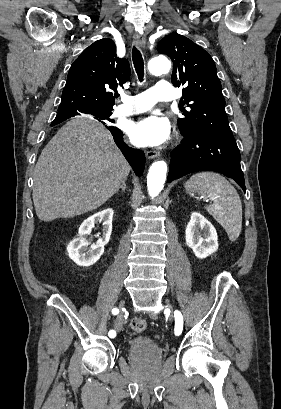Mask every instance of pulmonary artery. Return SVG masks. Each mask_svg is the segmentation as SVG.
Instances as JSON below:
<instances>
[{
	"label": "pulmonary artery",
	"mask_w": 281,
	"mask_h": 409,
	"mask_svg": "<svg viewBox=\"0 0 281 409\" xmlns=\"http://www.w3.org/2000/svg\"><path fill=\"white\" fill-rule=\"evenodd\" d=\"M156 87L158 90H143L142 94H133L132 102H123L122 107H115L114 114L116 116L134 114L148 110L156 103L170 101L174 98L175 84L173 81H158Z\"/></svg>",
	"instance_id": "obj_1"
}]
</instances>
